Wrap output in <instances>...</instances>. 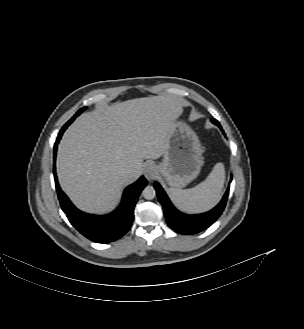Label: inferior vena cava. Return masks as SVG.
<instances>
[{"instance_id": "1", "label": "inferior vena cava", "mask_w": 304, "mask_h": 329, "mask_svg": "<svg viewBox=\"0 0 304 329\" xmlns=\"http://www.w3.org/2000/svg\"><path fill=\"white\" fill-rule=\"evenodd\" d=\"M120 174L126 178L131 173V168L128 166H123L119 170Z\"/></svg>"}]
</instances>
